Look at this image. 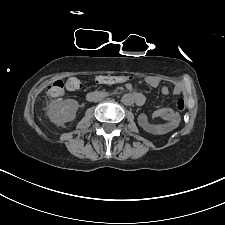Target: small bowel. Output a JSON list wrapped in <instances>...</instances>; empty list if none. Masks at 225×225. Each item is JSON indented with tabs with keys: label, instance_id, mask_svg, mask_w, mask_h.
I'll return each instance as SVG.
<instances>
[{
	"label": "small bowel",
	"instance_id": "c3829d8e",
	"mask_svg": "<svg viewBox=\"0 0 225 225\" xmlns=\"http://www.w3.org/2000/svg\"><path fill=\"white\" fill-rule=\"evenodd\" d=\"M148 84L153 88L158 87L159 80L155 78H150L148 80ZM161 92L163 95L167 96L170 93V89L168 86H162ZM173 92L175 95H181L183 94V88L178 85L173 89ZM158 118L162 119L163 122H158ZM179 122L180 115L170 108L158 109L153 113L152 117H149L146 114H141L139 116V123L144 128V130L156 135H161L170 132L178 126Z\"/></svg>",
	"mask_w": 225,
	"mask_h": 225
}]
</instances>
